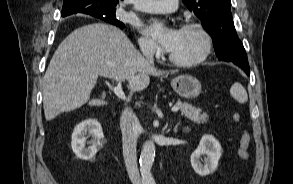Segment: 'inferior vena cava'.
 <instances>
[{
  "instance_id": "1",
  "label": "inferior vena cava",
  "mask_w": 293,
  "mask_h": 184,
  "mask_svg": "<svg viewBox=\"0 0 293 184\" xmlns=\"http://www.w3.org/2000/svg\"><path fill=\"white\" fill-rule=\"evenodd\" d=\"M140 48L147 62L153 65L154 52L152 48L146 44H141ZM120 128L122 132L123 156L129 178L132 184H141L136 156L139 121L135 113L128 107L122 111Z\"/></svg>"
}]
</instances>
